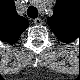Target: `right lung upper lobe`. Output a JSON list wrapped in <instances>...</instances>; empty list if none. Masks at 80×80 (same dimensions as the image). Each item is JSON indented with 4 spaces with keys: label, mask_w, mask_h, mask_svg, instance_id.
Listing matches in <instances>:
<instances>
[{
    "label": "right lung upper lobe",
    "mask_w": 80,
    "mask_h": 80,
    "mask_svg": "<svg viewBox=\"0 0 80 80\" xmlns=\"http://www.w3.org/2000/svg\"><path fill=\"white\" fill-rule=\"evenodd\" d=\"M26 19L18 16L13 3L0 12V38L8 43H15L28 27Z\"/></svg>",
    "instance_id": "cb5924a9"
}]
</instances>
